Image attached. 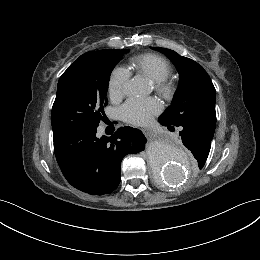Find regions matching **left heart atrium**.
<instances>
[{
  "instance_id": "39dd6f15",
  "label": "left heart atrium",
  "mask_w": 260,
  "mask_h": 260,
  "mask_svg": "<svg viewBox=\"0 0 260 260\" xmlns=\"http://www.w3.org/2000/svg\"><path fill=\"white\" fill-rule=\"evenodd\" d=\"M159 110V102L154 98H131L120 108L119 113L125 122L143 125Z\"/></svg>"
}]
</instances>
